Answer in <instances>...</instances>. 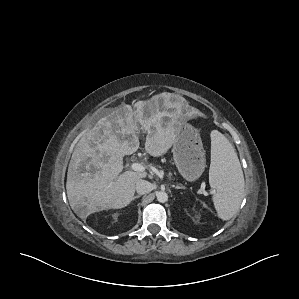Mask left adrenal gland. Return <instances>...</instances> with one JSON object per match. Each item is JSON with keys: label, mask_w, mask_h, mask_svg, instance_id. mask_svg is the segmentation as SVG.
<instances>
[{"label": "left adrenal gland", "mask_w": 299, "mask_h": 299, "mask_svg": "<svg viewBox=\"0 0 299 299\" xmlns=\"http://www.w3.org/2000/svg\"><path fill=\"white\" fill-rule=\"evenodd\" d=\"M175 189H186V188L183 185H177V186H175Z\"/></svg>", "instance_id": "a2214340"}]
</instances>
